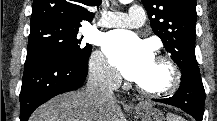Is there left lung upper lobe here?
Masks as SVG:
<instances>
[{
	"label": "left lung upper lobe",
	"mask_w": 217,
	"mask_h": 121,
	"mask_svg": "<svg viewBox=\"0 0 217 121\" xmlns=\"http://www.w3.org/2000/svg\"><path fill=\"white\" fill-rule=\"evenodd\" d=\"M153 32L182 74L201 78L195 56L196 0H142Z\"/></svg>",
	"instance_id": "obj_1"
}]
</instances>
